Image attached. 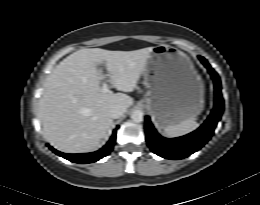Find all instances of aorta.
Instances as JSON below:
<instances>
[{"mask_svg":"<svg viewBox=\"0 0 260 205\" xmlns=\"http://www.w3.org/2000/svg\"><path fill=\"white\" fill-rule=\"evenodd\" d=\"M131 119L135 123H140L143 121V112L141 110H134L131 114Z\"/></svg>","mask_w":260,"mask_h":205,"instance_id":"762f6f07","label":"aorta"}]
</instances>
